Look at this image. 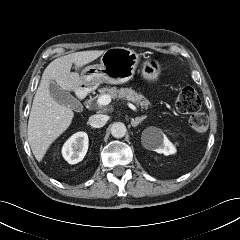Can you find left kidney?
Instances as JSON below:
<instances>
[{
    "label": "left kidney",
    "instance_id": "1",
    "mask_svg": "<svg viewBox=\"0 0 240 240\" xmlns=\"http://www.w3.org/2000/svg\"><path fill=\"white\" fill-rule=\"evenodd\" d=\"M149 134L155 135V141H150ZM142 144L146 149L157 153L170 155L176 152L174 145L168 140L166 135L158 128L149 127L142 133Z\"/></svg>",
    "mask_w": 240,
    "mask_h": 240
}]
</instances>
